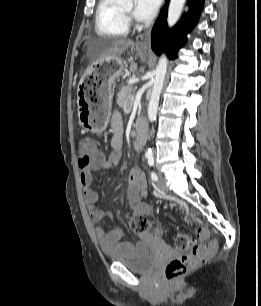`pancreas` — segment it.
<instances>
[{
    "label": "pancreas",
    "instance_id": "1",
    "mask_svg": "<svg viewBox=\"0 0 261 306\" xmlns=\"http://www.w3.org/2000/svg\"><path fill=\"white\" fill-rule=\"evenodd\" d=\"M133 95V88L131 86H124L121 88L119 93L117 94V104L123 108L127 109L131 107Z\"/></svg>",
    "mask_w": 261,
    "mask_h": 306
}]
</instances>
